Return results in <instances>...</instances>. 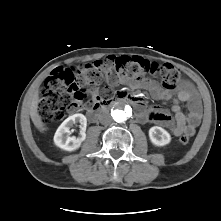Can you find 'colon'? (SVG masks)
<instances>
[{
    "mask_svg": "<svg viewBox=\"0 0 221 221\" xmlns=\"http://www.w3.org/2000/svg\"><path fill=\"white\" fill-rule=\"evenodd\" d=\"M123 72L134 81H143L151 75L160 77L163 87L173 89L183 77V72L171 64L151 63L138 57H108L85 64L79 68L57 67L46 78L41 91L38 114L44 126L64 119L66 112L77 109L104 76L105 71ZM112 90L106 91L111 95ZM189 134L179 142L186 144Z\"/></svg>",
    "mask_w": 221,
    "mask_h": 221,
    "instance_id": "5ec220e1",
    "label": "colon"
}]
</instances>
